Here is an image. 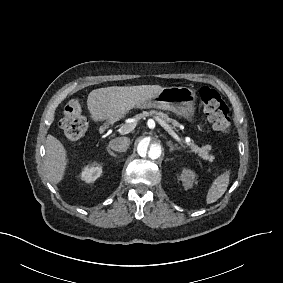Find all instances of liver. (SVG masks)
Returning <instances> with one entry per match:
<instances>
[{
    "label": "liver",
    "instance_id": "liver-1",
    "mask_svg": "<svg viewBox=\"0 0 283 283\" xmlns=\"http://www.w3.org/2000/svg\"><path fill=\"white\" fill-rule=\"evenodd\" d=\"M161 85H138L106 87L92 90L87 96L85 107L88 118L93 123L118 119L135 107L155 98ZM44 170L49 182L57 185L64 180L70 159L65 145L54 135L46 138Z\"/></svg>",
    "mask_w": 283,
    "mask_h": 283
}]
</instances>
